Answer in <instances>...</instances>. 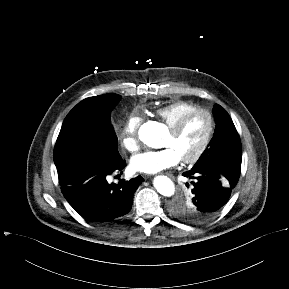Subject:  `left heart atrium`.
Here are the masks:
<instances>
[{
	"label": "left heart atrium",
	"instance_id": "39dd6f15",
	"mask_svg": "<svg viewBox=\"0 0 289 289\" xmlns=\"http://www.w3.org/2000/svg\"><path fill=\"white\" fill-rule=\"evenodd\" d=\"M181 158L172 147L149 150L131 159V168L140 173L154 174L176 166Z\"/></svg>",
	"mask_w": 289,
	"mask_h": 289
}]
</instances>
